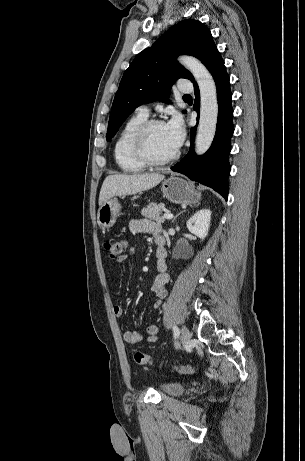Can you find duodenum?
I'll return each instance as SVG.
<instances>
[{
    "instance_id": "obj_1",
    "label": "duodenum",
    "mask_w": 305,
    "mask_h": 461,
    "mask_svg": "<svg viewBox=\"0 0 305 461\" xmlns=\"http://www.w3.org/2000/svg\"><path fill=\"white\" fill-rule=\"evenodd\" d=\"M156 243L159 248H164L165 238L161 235L156 238Z\"/></svg>"
}]
</instances>
